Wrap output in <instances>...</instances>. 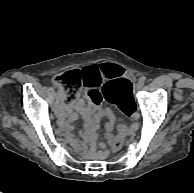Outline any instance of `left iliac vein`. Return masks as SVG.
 Returning <instances> with one entry per match:
<instances>
[{
    "instance_id": "4c4485c4",
    "label": "left iliac vein",
    "mask_w": 194,
    "mask_h": 193,
    "mask_svg": "<svg viewBox=\"0 0 194 193\" xmlns=\"http://www.w3.org/2000/svg\"><path fill=\"white\" fill-rule=\"evenodd\" d=\"M141 87L140 82L136 83V88L139 89Z\"/></svg>"
}]
</instances>
